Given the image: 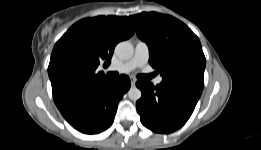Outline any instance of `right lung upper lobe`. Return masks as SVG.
Here are the masks:
<instances>
[{
  "label": "right lung upper lobe",
  "instance_id": "1",
  "mask_svg": "<svg viewBox=\"0 0 261 150\" xmlns=\"http://www.w3.org/2000/svg\"><path fill=\"white\" fill-rule=\"evenodd\" d=\"M134 32L128 17L118 16L85 18L71 26L55 44L48 66L57 107L109 82L95 70L101 62L108 66L115 45Z\"/></svg>",
  "mask_w": 261,
  "mask_h": 150
}]
</instances>
